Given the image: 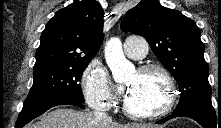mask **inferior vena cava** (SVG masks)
<instances>
[{
  "mask_svg": "<svg viewBox=\"0 0 221 128\" xmlns=\"http://www.w3.org/2000/svg\"><path fill=\"white\" fill-rule=\"evenodd\" d=\"M96 120H107L109 119L106 112H105V109L103 108H100V109H96L94 112H93Z\"/></svg>",
  "mask_w": 221,
  "mask_h": 128,
  "instance_id": "602c4592",
  "label": "inferior vena cava"
}]
</instances>
